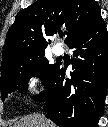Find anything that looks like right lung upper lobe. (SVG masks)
Wrapping results in <instances>:
<instances>
[{
  "mask_svg": "<svg viewBox=\"0 0 108 127\" xmlns=\"http://www.w3.org/2000/svg\"><path fill=\"white\" fill-rule=\"evenodd\" d=\"M100 18L95 0H37L17 14L7 33L1 65L44 53L48 45L46 37L61 29H65L68 44Z\"/></svg>",
  "mask_w": 108,
  "mask_h": 127,
  "instance_id": "obj_1",
  "label": "right lung upper lobe"
}]
</instances>
